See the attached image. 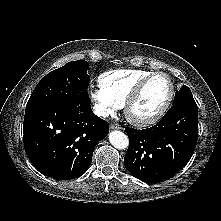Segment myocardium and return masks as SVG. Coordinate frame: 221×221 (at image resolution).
Masks as SVG:
<instances>
[{"label":"myocardium","mask_w":221,"mask_h":221,"mask_svg":"<svg viewBox=\"0 0 221 221\" xmlns=\"http://www.w3.org/2000/svg\"><path fill=\"white\" fill-rule=\"evenodd\" d=\"M156 76H164L169 82L170 91H169V95H168L166 101L164 102V104L162 105L160 110L158 112H156L155 114H153L149 117H146V118H136V117H134L131 114L132 106L140 98V96H141L145 86L147 85V83ZM174 97H175V85H174V82H173L172 78L167 73L162 72V71L152 72L149 75L142 78L135 85L133 90L130 92V94L128 95V97L126 98V100L124 101V104H123L124 114H125L127 120L131 124H133L137 127L151 126V125L157 123L158 121H160L164 117V115L167 113L168 109L170 108V105H171Z\"/></svg>","instance_id":"obj_1"}]
</instances>
